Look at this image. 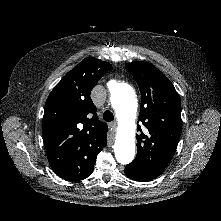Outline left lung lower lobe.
I'll list each match as a JSON object with an SVG mask.
<instances>
[{"label":"left lung lower lobe","instance_id":"obj_1","mask_svg":"<svg viewBox=\"0 0 221 221\" xmlns=\"http://www.w3.org/2000/svg\"><path fill=\"white\" fill-rule=\"evenodd\" d=\"M124 172L130 179H133L136 181H149V180L157 178L159 175L162 174V172H152V173L137 172L128 167H125Z\"/></svg>","mask_w":221,"mask_h":221}]
</instances>
